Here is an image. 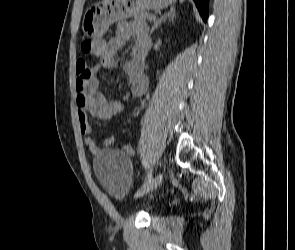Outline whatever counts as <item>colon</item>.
<instances>
[{
	"label": "colon",
	"instance_id": "colon-1",
	"mask_svg": "<svg viewBox=\"0 0 295 250\" xmlns=\"http://www.w3.org/2000/svg\"><path fill=\"white\" fill-rule=\"evenodd\" d=\"M100 40L96 39H85L81 43V49L86 54H93L99 48Z\"/></svg>",
	"mask_w": 295,
	"mask_h": 250
}]
</instances>
